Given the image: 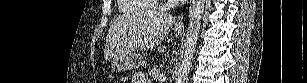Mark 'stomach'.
<instances>
[{
  "label": "stomach",
  "mask_w": 307,
  "mask_h": 83,
  "mask_svg": "<svg viewBox=\"0 0 307 83\" xmlns=\"http://www.w3.org/2000/svg\"><path fill=\"white\" fill-rule=\"evenodd\" d=\"M177 36H180V33H177ZM142 63L143 59L136 54L117 55L111 60L113 69L121 72L138 68Z\"/></svg>",
  "instance_id": "0dacf381"
}]
</instances>
